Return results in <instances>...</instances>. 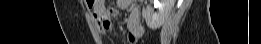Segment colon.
<instances>
[{
  "label": "colon",
  "instance_id": "1",
  "mask_svg": "<svg viewBox=\"0 0 261 44\" xmlns=\"http://www.w3.org/2000/svg\"><path fill=\"white\" fill-rule=\"evenodd\" d=\"M98 4H103V1H88V6H97Z\"/></svg>",
  "mask_w": 261,
  "mask_h": 44
}]
</instances>
